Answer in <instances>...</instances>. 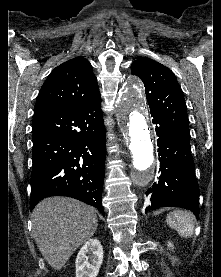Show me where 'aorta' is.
<instances>
[{
	"instance_id": "obj_1",
	"label": "aorta",
	"mask_w": 221,
	"mask_h": 277,
	"mask_svg": "<svg viewBox=\"0 0 221 277\" xmlns=\"http://www.w3.org/2000/svg\"><path fill=\"white\" fill-rule=\"evenodd\" d=\"M116 109L124 134L130 141L133 184L145 186L154 178L156 163L141 85L136 78H129L124 85Z\"/></svg>"
}]
</instances>
